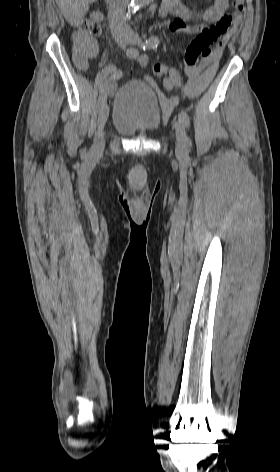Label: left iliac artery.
I'll return each instance as SVG.
<instances>
[{"label":"left iliac artery","instance_id":"left-iliac-artery-1","mask_svg":"<svg viewBox=\"0 0 280 472\" xmlns=\"http://www.w3.org/2000/svg\"><path fill=\"white\" fill-rule=\"evenodd\" d=\"M158 44H159V39L156 36H151L145 40L144 44H142V48L144 50H150V49L156 48ZM170 80L174 88L181 87L182 85L181 76L177 69L175 68L170 69ZM179 120L183 123V125L186 128H189L190 118L186 111H181L179 113Z\"/></svg>","mask_w":280,"mask_h":472}]
</instances>
